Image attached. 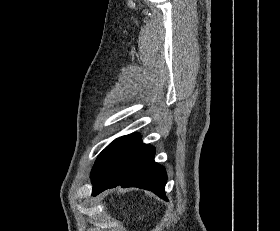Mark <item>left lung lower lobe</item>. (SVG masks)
<instances>
[{"instance_id": "0a47b994", "label": "left lung lower lobe", "mask_w": 280, "mask_h": 231, "mask_svg": "<svg viewBox=\"0 0 280 231\" xmlns=\"http://www.w3.org/2000/svg\"><path fill=\"white\" fill-rule=\"evenodd\" d=\"M154 147L143 144L139 134L122 136L98 156L91 171L92 195L116 186L138 187L154 192L164 200L165 169L154 162Z\"/></svg>"}]
</instances>
